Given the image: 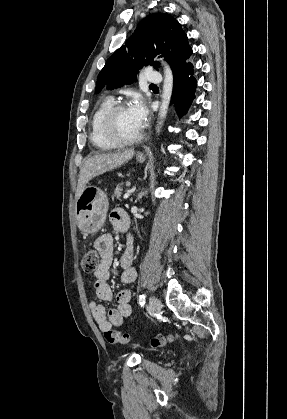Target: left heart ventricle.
<instances>
[{"label": "left heart ventricle", "mask_w": 287, "mask_h": 419, "mask_svg": "<svg viewBox=\"0 0 287 419\" xmlns=\"http://www.w3.org/2000/svg\"><path fill=\"white\" fill-rule=\"evenodd\" d=\"M116 127L119 134L126 138L134 137L142 131V128L138 126L131 116L128 108H125L118 113Z\"/></svg>", "instance_id": "obj_1"}]
</instances>
